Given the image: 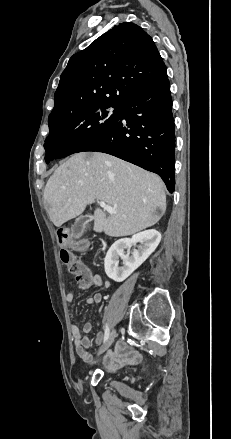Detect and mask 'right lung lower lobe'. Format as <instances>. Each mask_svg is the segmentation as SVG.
<instances>
[{
	"label": "right lung lower lobe",
	"instance_id": "obj_1",
	"mask_svg": "<svg viewBox=\"0 0 231 439\" xmlns=\"http://www.w3.org/2000/svg\"><path fill=\"white\" fill-rule=\"evenodd\" d=\"M119 120L84 151L108 153L154 172L174 192L175 133L169 81L131 98L120 110Z\"/></svg>",
	"mask_w": 231,
	"mask_h": 439
}]
</instances>
